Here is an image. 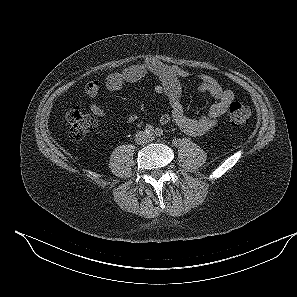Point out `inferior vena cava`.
Returning a JSON list of instances; mask_svg holds the SVG:
<instances>
[{
    "instance_id": "1",
    "label": "inferior vena cava",
    "mask_w": 297,
    "mask_h": 297,
    "mask_svg": "<svg viewBox=\"0 0 297 297\" xmlns=\"http://www.w3.org/2000/svg\"><path fill=\"white\" fill-rule=\"evenodd\" d=\"M143 136H144V138H143ZM136 141L138 143H147L149 141V138L147 137V135L144 132H139L136 135Z\"/></svg>"
}]
</instances>
